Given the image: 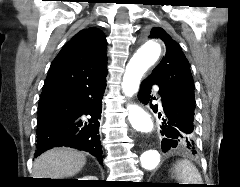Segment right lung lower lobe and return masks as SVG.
I'll return each mask as SVG.
<instances>
[{
    "label": "right lung lower lobe",
    "mask_w": 240,
    "mask_h": 187,
    "mask_svg": "<svg viewBox=\"0 0 240 187\" xmlns=\"http://www.w3.org/2000/svg\"><path fill=\"white\" fill-rule=\"evenodd\" d=\"M106 76L42 96L38 105L35 156L68 146L89 152L102 164L99 126Z\"/></svg>",
    "instance_id": "1"
}]
</instances>
